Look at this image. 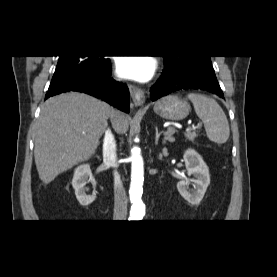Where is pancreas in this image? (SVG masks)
Returning <instances> with one entry per match:
<instances>
[{
	"label": "pancreas",
	"mask_w": 277,
	"mask_h": 277,
	"mask_svg": "<svg viewBox=\"0 0 277 277\" xmlns=\"http://www.w3.org/2000/svg\"><path fill=\"white\" fill-rule=\"evenodd\" d=\"M185 136L189 141L193 142L197 135H196V133L188 132L185 134Z\"/></svg>",
	"instance_id": "cf45deb5"
}]
</instances>
